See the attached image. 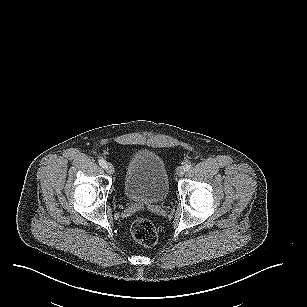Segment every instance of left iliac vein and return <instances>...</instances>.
<instances>
[{
	"instance_id": "1",
	"label": "left iliac vein",
	"mask_w": 307,
	"mask_h": 307,
	"mask_svg": "<svg viewBox=\"0 0 307 307\" xmlns=\"http://www.w3.org/2000/svg\"><path fill=\"white\" fill-rule=\"evenodd\" d=\"M184 174H185V168L182 166L178 167L176 170V175L178 177H182Z\"/></svg>"
}]
</instances>
